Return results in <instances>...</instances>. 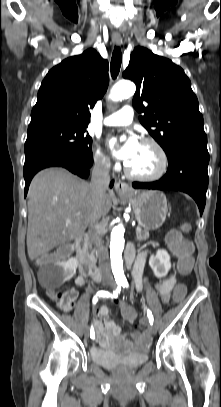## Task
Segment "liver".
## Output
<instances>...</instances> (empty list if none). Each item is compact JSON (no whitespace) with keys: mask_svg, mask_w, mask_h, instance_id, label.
<instances>
[{"mask_svg":"<svg viewBox=\"0 0 221 407\" xmlns=\"http://www.w3.org/2000/svg\"><path fill=\"white\" fill-rule=\"evenodd\" d=\"M28 198L27 251L34 260L77 238L88 225L106 216L114 194L110 192L96 203L89 183L54 167L34 176Z\"/></svg>","mask_w":221,"mask_h":407,"instance_id":"1","label":"liver"}]
</instances>
